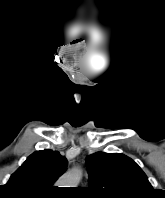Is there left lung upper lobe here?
Returning <instances> with one entry per match:
<instances>
[{
	"mask_svg": "<svg viewBox=\"0 0 165 198\" xmlns=\"http://www.w3.org/2000/svg\"><path fill=\"white\" fill-rule=\"evenodd\" d=\"M85 163L89 189L98 198H149L154 192L142 169L124 154L97 152Z\"/></svg>",
	"mask_w": 165,
	"mask_h": 198,
	"instance_id": "obj_1",
	"label": "left lung upper lobe"
}]
</instances>
